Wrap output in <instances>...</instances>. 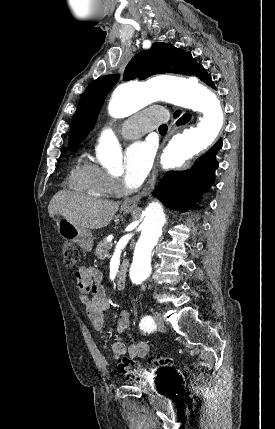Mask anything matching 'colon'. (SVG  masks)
Returning a JSON list of instances; mask_svg holds the SVG:
<instances>
[{
    "label": "colon",
    "mask_w": 275,
    "mask_h": 429,
    "mask_svg": "<svg viewBox=\"0 0 275 429\" xmlns=\"http://www.w3.org/2000/svg\"><path fill=\"white\" fill-rule=\"evenodd\" d=\"M63 263L65 267L72 268L79 259V252L77 248L70 242H65L62 247ZM150 364L152 370L162 372L163 370H169L173 366V360L170 357L157 356L150 358ZM119 369L131 376L132 379H138L144 374L148 373V370H143L136 362L123 358L119 363Z\"/></svg>",
    "instance_id": "1"
}]
</instances>
